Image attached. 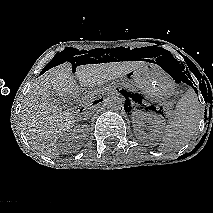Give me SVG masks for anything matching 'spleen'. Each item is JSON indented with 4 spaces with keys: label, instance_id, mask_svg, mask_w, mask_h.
Here are the masks:
<instances>
[{
    "label": "spleen",
    "instance_id": "spleen-1",
    "mask_svg": "<svg viewBox=\"0 0 213 213\" xmlns=\"http://www.w3.org/2000/svg\"><path fill=\"white\" fill-rule=\"evenodd\" d=\"M202 108L195 91L190 88L177 102L174 117L166 125L159 151L170 152L186 145L196 134Z\"/></svg>",
    "mask_w": 213,
    "mask_h": 213
}]
</instances>
